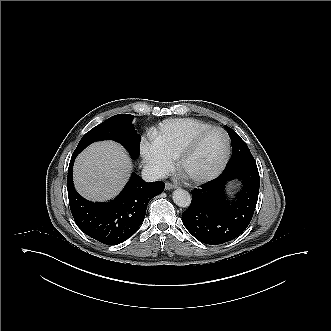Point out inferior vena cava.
<instances>
[{
    "mask_svg": "<svg viewBox=\"0 0 331 331\" xmlns=\"http://www.w3.org/2000/svg\"><path fill=\"white\" fill-rule=\"evenodd\" d=\"M142 179L146 182H155L166 178L164 171L157 165L147 164L142 169Z\"/></svg>",
    "mask_w": 331,
    "mask_h": 331,
    "instance_id": "inferior-vena-cava-1",
    "label": "inferior vena cava"
}]
</instances>
